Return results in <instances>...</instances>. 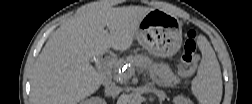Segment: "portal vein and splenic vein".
I'll use <instances>...</instances> for the list:
<instances>
[{"label":"portal vein and splenic vein","mask_w":252,"mask_h":104,"mask_svg":"<svg viewBox=\"0 0 252 104\" xmlns=\"http://www.w3.org/2000/svg\"><path fill=\"white\" fill-rule=\"evenodd\" d=\"M132 74H133V72H130V73H129V76H131Z\"/></svg>","instance_id":"obj_1"}]
</instances>
